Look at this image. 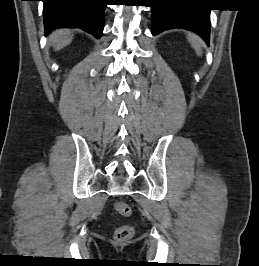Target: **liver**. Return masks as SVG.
<instances>
[{
    "mask_svg": "<svg viewBox=\"0 0 259 266\" xmlns=\"http://www.w3.org/2000/svg\"><path fill=\"white\" fill-rule=\"evenodd\" d=\"M49 39L55 50L58 51L71 43L72 35L68 30L59 29L54 31Z\"/></svg>",
    "mask_w": 259,
    "mask_h": 266,
    "instance_id": "liver-1",
    "label": "liver"
}]
</instances>
